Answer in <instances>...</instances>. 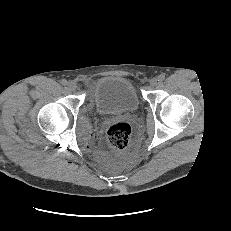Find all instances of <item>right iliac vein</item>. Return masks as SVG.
Wrapping results in <instances>:
<instances>
[{
  "mask_svg": "<svg viewBox=\"0 0 231 231\" xmlns=\"http://www.w3.org/2000/svg\"><path fill=\"white\" fill-rule=\"evenodd\" d=\"M67 86H68V89L72 91L76 90L77 88V84L73 81L68 82Z\"/></svg>",
  "mask_w": 231,
  "mask_h": 231,
  "instance_id": "1",
  "label": "right iliac vein"
}]
</instances>
